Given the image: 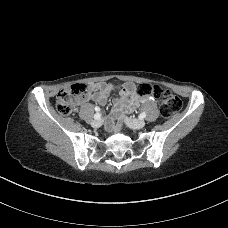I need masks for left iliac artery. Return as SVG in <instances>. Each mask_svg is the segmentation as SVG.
Returning <instances> with one entry per match:
<instances>
[{
  "instance_id": "obj_1",
  "label": "left iliac artery",
  "mask_w": 228,
  "mask_h": 228,
  "mask_svg": "<svg viewBox=\"0 0 228 228\" xmlns=\"http://www.w3.org/2000/svg\"><path fill=\"white\" fill-rule=\"evenodd\" d=\"M141 119L145 118L146 117V113L145 112H142L139 116Z\"/></svg>"
}]
</instances>
